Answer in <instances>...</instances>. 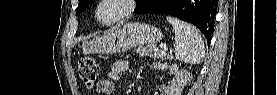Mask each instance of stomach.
Listing matches in <instances>:
<instances>
[{"label":"stomach","instance_id":"stomach-1","mask_svg":"<svg viewBox=\"0 0 277 95\" xmlns=\"http://www.w3.org/2000/svg\"><path fill=\"white\" fill-rule=\"evenodd\" d=\"M162 38L161 30L155 26L128 23L84 42L81 49L84 54H116L137 46L154 45Z\"/></svg>","mask_w":277,"mask_h":95}]
</instances>
